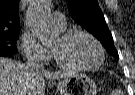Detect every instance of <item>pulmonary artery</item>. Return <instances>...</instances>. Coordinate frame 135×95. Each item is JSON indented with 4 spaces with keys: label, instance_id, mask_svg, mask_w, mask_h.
<instances>
[{
    "label": "pulmonary artery",
    "instance_id": "e3ab8cb5",
    "mask_svg": "<svg viewBox=\"0 0 135 95\" xmlns=\"http://www.w3.org/2000/svg\"><path fill=\"white\" fill-rule=\"evenodd\" d=\"M51 22L53 26L64 29L66 26L65 16L60 12H53Z\"/></svg>",
    "mask_w": 135,
    "mask_h": 95
}]
</instances>
